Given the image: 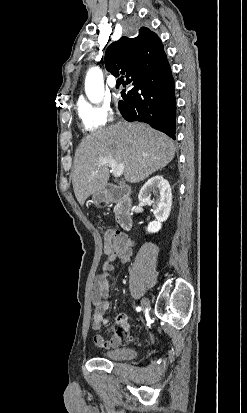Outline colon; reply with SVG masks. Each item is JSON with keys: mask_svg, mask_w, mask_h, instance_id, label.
<instances>
[{"mask_svg": "<svg viewBox=\"0 0 247 413\" xmlns=\"http://www.w3.org/2000/svg\"><path fill=\"white\" fill-rule=\"evenodd\" d=\"M126 235L120 230L115 229L114 231H109L105 235V242L107 244L108 252H115L116 248H125Z\"/></svg>", "mask_w": 247, "mask_h": 413, "instance_id": "obj_1", "label": "colon"}]
</instances>
